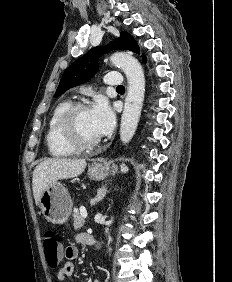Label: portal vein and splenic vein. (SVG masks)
I'll return each instance as SVG.
<instances>
[{
	"label": "portal vein and splenic vein",
	"instance_id": "1",
	"mask_svg": "<svg viewBox=\"0 0 232 282\" xmlns=\"http://www.w3.org/2000/svg\"><path fill=\"white\" fill-rule=\"evenodd\" d=\"M80 213H81V216L83 217V218H87V210L85 209V207H81L80 208Z\"/></svg>",
	"mask_w": 232,
	"mask_h": 282
}]
</instances>
